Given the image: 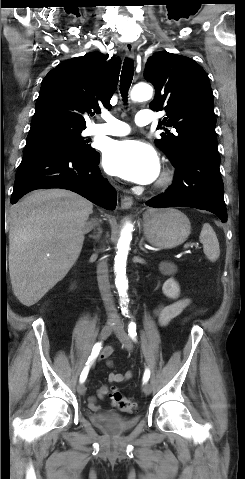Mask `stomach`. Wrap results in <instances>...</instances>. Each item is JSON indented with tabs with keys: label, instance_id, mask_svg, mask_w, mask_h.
I'll return each mask as SVG.
<instances>
[{
	"label": "stomach",
	"instance_id": "0dacf381",
	"mask_svg": "<svg viewBox=\"0 0 245 479\" xmlns=\"http://www.w3.org/2000/svg\"><path fill=\"white\" fill-rule=\"evenodd\" d=\"M143 231L147 241L160 248H174L186 241L191 224L177 209H154L144 215Z\"/></svg>",
	"mask_w": 245,
	"mask_h": 479
}]
</instances>
